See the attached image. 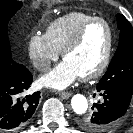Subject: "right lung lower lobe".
Masks as SVG:
<instances>
[{"mask_svg":"<svg viewBox=\"0 0 133 133\" xmlns=\"http://www.w3.org/2000/svg\"><path fill=\"white\" fill-rule=\"evenodd\" d=\"M33 77L29 70L12 61L0 64V130H16L31 118L40 92L27 95Z\"/></svg>","mask_w":133,"mask_h":133,"instance_id":"1","label":"right lung lower lobe"}]
</instances>
